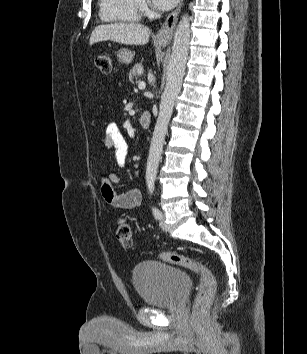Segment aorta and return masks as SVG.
<instances>
[{"instance_id": "obj_1", "label": "aorta", "mask_w": 307, "mask_h": 354, "mask_svg": "<svg viewBox=\"0 0 307 354\" xmlns=\"http://www.w3.org/2000/svg\"><path fill=\"white\" fill-rule=\"evenodd\" d=\"M190 42V19L185 14L180 20L175 34L172 54L167 67V83L161 97L159 116L153 132L146 166V183L154 185L165 135L172 116L177 95L180 92L185 73Z\"/></svg>"}]
</instances>
